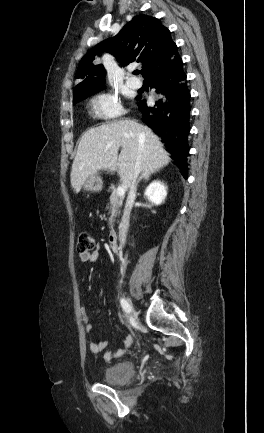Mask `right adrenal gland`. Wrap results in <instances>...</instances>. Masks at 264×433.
<instances>
[{
    "label": "right adrenal gland",
    "instance_id": "2a0ac1e0",
    "mask_svg": "<svg viewBox=\"0 0 264 433\" xmlns=\"http://www.w3.org/2000/svg\"><path fill=\"white\" fill-rule=\"evenodd\" d=\"M141 180H145V181L150 180V174H148V173H142L141 174V176L138 178L137 183H136V191H137V186Z\"/></svg>",
    "mask_w": 264,
    "mask_h": 433
}]
</instances>
